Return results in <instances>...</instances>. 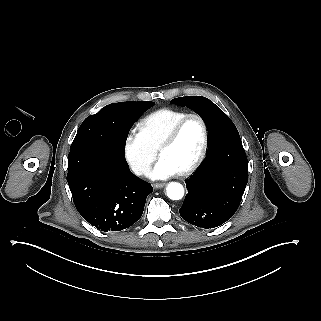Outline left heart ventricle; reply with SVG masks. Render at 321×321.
Returning <instances> with one entry per match:
<instances>
[{
    "label": "left heart ventricle",
    "mask_w": 321,
    "mask_h": 321,
    "mask_svg": "<svg viewBox=\"0 0 321 321\" xmlns=\"http://www.w3.org/2000/svg\"><path fill=\"white\" fill-rule=\"evenodd\" d=\"M202 145V127L197 119L188 120L174 141L159 145V154L168 156L183 171L194 161Z\"/></svg>",
    "instance_id": "1"
}]
</instances>
